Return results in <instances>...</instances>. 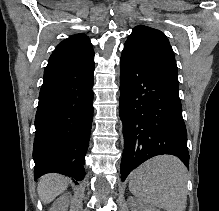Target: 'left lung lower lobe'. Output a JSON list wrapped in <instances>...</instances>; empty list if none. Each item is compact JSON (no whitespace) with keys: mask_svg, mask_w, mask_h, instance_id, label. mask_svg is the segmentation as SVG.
<instances>
[{"mask_svg":"<svg viewBox=\"0 0 219 211\" xmlns=\"http://www.w3.org/2000/svg\"><path fill=\"white\" fill-rule=\"evenodd\" d=\"M120 68V116L125 139L122 181L138 165L156 155H175L188 167L179 84L126 53L121 55Z\"/></svg>","mask_w":219,"mask_h":211,"instance_id":"1","label":"left lung lower lobe"}]
</instances>
